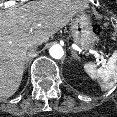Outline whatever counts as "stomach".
Wrapping results in <instances>:
<instances>
[{
    "label": "stomach",
    "mask_w": 117,
    "mask_h": 117,
    "mask_svg": "<svg viewBox=\"0 0 117 117\" xmlns=\"http://www.w3.org/2000/svg\"><path fill=\"white\" fill-rule=\"evenodd\" d=\"M70 30L73 40L83 51H89L94 47L95 34L88 17L84 12L78 13L71 19Z\"/></svg>",
    "instance_id": "stomach-1"
}]
</instances>
